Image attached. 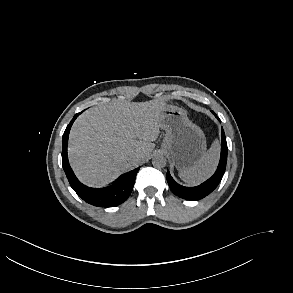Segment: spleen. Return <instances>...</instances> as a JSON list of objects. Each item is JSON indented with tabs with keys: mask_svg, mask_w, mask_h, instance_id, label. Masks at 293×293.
I'll use <instances>...</instances> for the list:
<instances>
[{
	"mask_svg": "<svg viewBox=\"0 0 293 293\" xmlns=\"http://www.w3.org/2000/svg\"><path fill=\"white\" fill-rule=\"evenodd\" d=\"M219 142L215 140L210 149L193 166L179 171V177L187 184L196 185L209 178L219 161Z\"/></svg>",
	"mask_w": 293,
	"mask_h": 293,
	"instance_id": "1",
	"label": "spleen"
}]
</instances>
